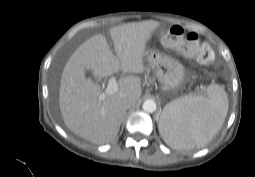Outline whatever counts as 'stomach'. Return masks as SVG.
Listing matches in <instances>:
<instances>
[{
  "mask_svg": "<svg viewBox=\"0 0 255 177\" xmlns=\"http://www.w3.org/2000/svg\"><path fill=\"white\" fill-rule=\"evenodd\" d=\"M147 61L158 80L169 90L176 91L183 83L185 68L176 59L156 50L146 52Z\"/></svg>",
  "mask_w": 255,
  "mask_h": 177,
  "instance_id": "stomach-1",
  "label": "stomach"
}]
</instances>
